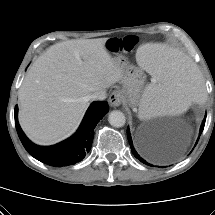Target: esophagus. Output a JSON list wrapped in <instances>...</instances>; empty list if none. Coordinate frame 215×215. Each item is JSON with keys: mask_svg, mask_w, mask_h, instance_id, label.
<instances>
[{"mask_svg": "<svg viewBox=\"0 0 215 215\" xmlns=\"http://www.w3.org/2000/svg\"><path fill=\"white\" fill-rule=\"evenodd\" d=\"M123 100V95L119 90H114L109 96V104L112 107H118Z\"/></svg>", "mask_w": 215, "mask_h": 215, "instance_id": "obj_1", "label": "esophagus"}]
</instances>
